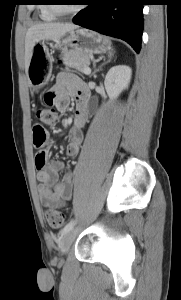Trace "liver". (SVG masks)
<instances>
[{"mask_svg":"<svg viewBox=\"0 0 181 300\" xmlns=\"http://www.w3.org/2000/svg\"><path fill=\"white\" fill-rule=\"evenodd\" d=\"M78 28L72 23H38L31 26L25 37V72L28 73V68L31 60L32 50L35 42L53 40L56 41L62 38L67 32Z\"/></svg>","mask_w":181,"mask_h":300,"instance_id":"liver-1","label":"liver"}]
</instances>
